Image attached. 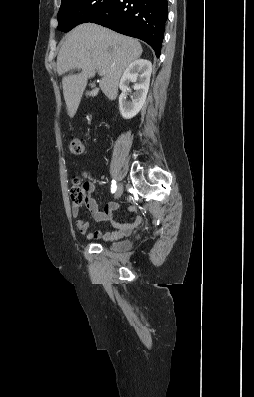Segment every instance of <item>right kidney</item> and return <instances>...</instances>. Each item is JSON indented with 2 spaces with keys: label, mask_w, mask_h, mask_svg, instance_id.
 Here are the masks:
<instances>
[{
  "label": "right kidney",
  "mask_w": 254,
  "mask_h": 397,
  "mask_svg": "<svg viewBox=\"0 0 254 397\" xmlns=\"http://www.w3.org/2000/svg\"><path fill=\"white\" fill-rule=\"evenodd\" d=\"M152 64L146 59H138L132 62L125 69L119 88L122 93L119 96V110L124 119H131L136 116L145 103L150 84ZM130 82H134L135 92L131 96V101L127 100V92Z\"/></svg>",
  "instance_id": "1"
}]
</instances>
